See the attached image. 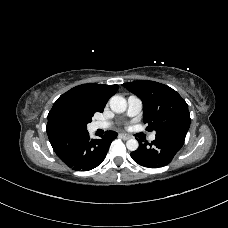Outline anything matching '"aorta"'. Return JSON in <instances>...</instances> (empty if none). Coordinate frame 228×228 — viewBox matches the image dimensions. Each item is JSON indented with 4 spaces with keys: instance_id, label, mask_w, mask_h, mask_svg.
Masks as SVG:
<instances>
[{
    "instance_id": "obj_1",
    "label": "aorta",
    "mask_w": 228,
    "mask_h": 228,
    "mask_svg": "<svg viewBox=\"0 0 228 228\" xmlns=\"http://www.w3.org/2000/svg\"><path fill=\"white\" fill-rule=\"evenodd\" d=\"M110 108L115 113H123L127 108V101L125 98L119 95H114L110 99ZM127 149L130 151H136L139 147V143L136 139H129L126 142Z\"/></svg>"
}]
</instances>
